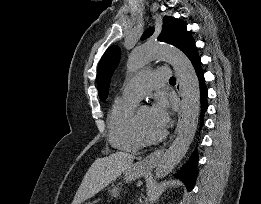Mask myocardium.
<instances>
[{
    "label": "myocardium",
    "mask_w": 261,
    "mask_h": 204,
    "mask_svg": "<svg viewBox=\"0 0 261 204\" xmlns=\"http://www.w3.org/2000/svg\"><path fill=\"white\" fill-rule=\"evenodd\" d=\"M134 123L136 131L144 144H154L161 141L165 137L164 132H160L158 134H151L148 131H146L139 120L138 114L134 116Z\"/></svg>",
    "instance_id": "obj_1"
}]
</instances>
